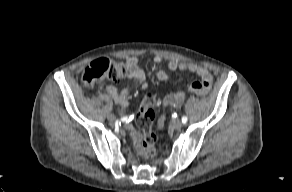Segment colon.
I'll list each match as a JSON object with an SVG mask.
<instances>
[{"mask_svg": "<svg viewBox=\"0 0 292 192\" xmlns=\"http://www.w3.org/2000/svg\"><path fill=\"white\" fill-rule=\"evenodd\" d=\"M128 76V71L123 64L113 62L107 58H101L91 62L84 70L82 80L86 87H92L103 81H118ZM157 105L156 97L147 93L141 103L137 114V121L144 136L141 141V155L144 159H151L155 155L153 139L154 134L150 128L154 120V107Z\"/></svg>", "mask_w": 292, "mask_h": 192, "instance_id": "obj_1", "label": "colon"}]
</instances>
